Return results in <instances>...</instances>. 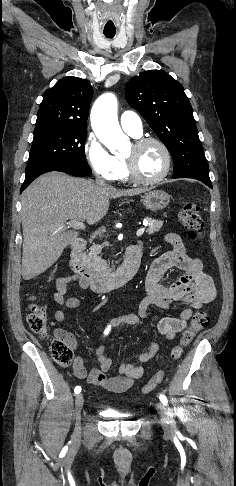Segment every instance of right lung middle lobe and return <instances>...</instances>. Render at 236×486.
Segmentation results:
<instances>
[{
  "instance_id": "obj_1",
  "label": "right lung middle lobe",
  "mask_w": 236,
  "mask_h": 486,
  "mask_svg": "<svg viewBox=\"0 0 236 486\" xmlns=\"http://www.w3.org/2000/svg\"><path fill=\"white\" fill-rule=\"evenodd\" d=\"M86 136L85 129L35 128L28 164L53 161L88 166L84 148Z\"/></svg>"
}]
</instances>
